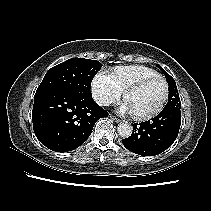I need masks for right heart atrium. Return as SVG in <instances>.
<instances>
[{
    "mask_svg": "<svg viewBox=\"0 0 211 211\" xmlns=\"http://www.w3.org/2000/svg\"><path fill=\"white\" fill-rule=\"evenodd\" d=\"M91 91L95 101L101 106L116 102L123 92L113 75L105 70H100L93 77Z\"/></svg>",
    "mask_w": 211,
    "mask_h": 211,
    "instance_id": "1",
    "label": "right heart atrium"
}]
</instances>
